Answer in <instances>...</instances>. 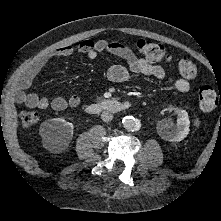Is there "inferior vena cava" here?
Instances as JSON below:
<instances>
[{"label":"inferior vena cava","mask_w":221,"mask_h":221,"mask_svg":"<svg viewBox=\"0 0 221 221\" xmlns=\"http://www.w3.org/2000/svg\"><path fill=\"white\" fill-rule=\"evenodd\" d=\"M101 119L105 122L111 121L113 119V114L108 111H104L101 114Z\"/></svg>","instance_id":"inferior-vena-cava-1"}]
</instances>
